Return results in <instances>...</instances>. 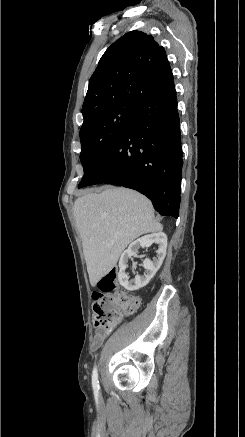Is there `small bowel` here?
Segmentation results:
<instances>
[{
  "label": "small bowel",
  "instance_id": "1",
  "mask_svg": "<svg viewBox=\"0 0 245 437\" xmlns=\"http://www.w3.org/2000/svg\"><path fill=\"white\" fill-rule=\"evenodd\" d=\"M106 337V335L104 336H98L96 335L94 338V346H100L104 340V338Z\"/></svg>",
  "mask_w": 245,
  "mask_h": 437
}]
</instances>
